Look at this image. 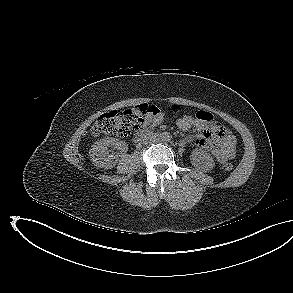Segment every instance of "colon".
<instances>
[{
    "mask_svg": "<svg viewBox=\"0 0 293 293\" xmlns=\"http://www.w3.org/2000/svg\"><path fill=\"white\" fill-rule=\"evenodd\" d=\"M177 108L174 107L173 110ZM198 117L211 120V116L199 112ZM143 125L142 114L137 109L112 110L102 114L91 128L93 136L127 137ZM233 169L231 163L222 166V170L229 172Z\"/></svg>",
    "mask_w": 293,
    "mask_h": 293,
    "instance_id": "5ec220e1",
    "label": "colon"
}]
</instances>
